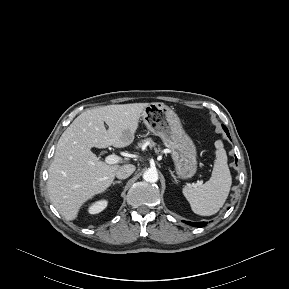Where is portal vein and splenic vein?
I'll use <instances>...</instances> for the list:
<instances>
[{"mask_svg": "<svg viewBox=\"0 0 289 289\" xmlns=\"http://www.w3.org/2000/svg\"><path fill=\"white\" fill-rule=\"evenodd\" d=\"M121 161V157L117 156V155H109L105 158V163L107 164H116L118 162Z\"/></svg>", "mask_w": 289, "mask_h": 289, "instance_id": "1", "label": "portal vein and splenic vein"}]
</instances>
